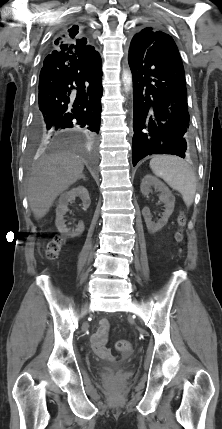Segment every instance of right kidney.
Returning <instances> with one entry per match:
<instances>
[{
  "instance_id": "ca27d5eb",
  "label": "right kidney",
  "mask_w": 222,
  "mask_h": 429,
  "mask_svg": "<svg viewBox=\"0 0 222 429\" xmlns=\"http://www.w3.org/2000/svg\"><path fill=\"white\" fill-rule=\"evenodd\" d=\"M79 197L82 200L83 209H87L90 206V197L88 190L84 186H78L71 190L64 191L61 193L58 206L56 208V227L60 233H68L69 229L66 227L64 215L68 212V204ZM84 231V223L81 221L75 230L72 231L71 236H79Z\"/></svg>"
}]
</instances>
